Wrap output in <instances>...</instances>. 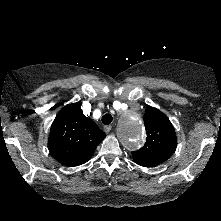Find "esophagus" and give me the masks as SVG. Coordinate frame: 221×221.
<instances>
[{
	"label": "esophagus",
	"instance_id": "obj_1",
	"mask_svg": "<svg viewBox=\"0 0 221 221\" xmlns=\"http://www.w3.org/2000/svg\"><path fill=\"white\" fill-rule=\"evenodd\" d=\"M111 129H112V126H110V125L104 126V131L106 133H109L111 131Z\"/></svg>",
	"mask_w": 221,
	"mask_h": 221
}]
</instances>
